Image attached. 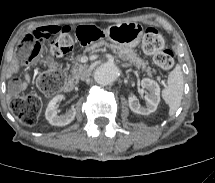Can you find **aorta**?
<instances>
[{"label": "aorta", "mask_w": 215, "mask_h": 183, "mask_svg": "<svg viewBox=\"0 0 215 183\" xmlns=\"http://www.w3.org/2000/svg\"><path fill=\"white\" fill-rule=\"evenodd\" d=\"M120 75V68L113 62L102 63L94 71V79L101 85H108L115 82Z\"/></svg>", "instance_id": "aorta-1"}]
</instances>
